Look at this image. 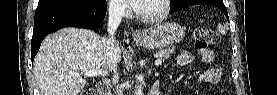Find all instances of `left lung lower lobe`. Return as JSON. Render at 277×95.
I'll use <instances>...</instances> for the list:
<instances>
[{"label":"left lung lower lobe","instance_id":"obj_1","mask_svg":"<svg viewBox=\"0 0 277 95\" xmlns=\"http://www.w3.org/2000/svg\"><path fill=\"white\" fill-rule=\"evenodd\" d=\"M196 4H209V5L216 6L223 11V13L226 15V17H228L227 9L224 6V3L222 0H190L187 3H185L182 7L178 8L176 10H172L169 13H174V12L180 11L181 9H183L185 7H188L191 5H196Z\"/></svg>","mask_w":277,"mask_h":95}]
</instances>
